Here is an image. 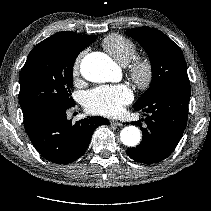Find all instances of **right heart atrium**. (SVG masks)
Segmentation results:
<instances>
[{"label":"right heart atrium","instance_id":"1","mask_svg":"<svg viewBox=\"0 0 211 211\" xmlns=\"http://www.w3.org/2000/svg\"><path fill=\"white\" fill-rule=\"evenodd\" d=\"M83 56H84V52H81L74 59L73 66H72V73H73L74 77H76L79 74L80 63H81Z\"/></svg>","mask_w":211,"mask_h":211}]
</instances>
